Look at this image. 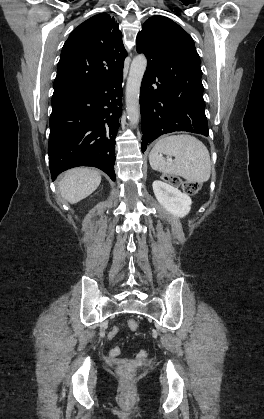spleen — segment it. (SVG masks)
I'll list each match as a JSON object with an SVG mask.
<instances>
[{
    "mask_svg": "<svg viewBox=\"0 0 264 419\" xmlns=\"http://www.w3.org/2000/svg\"><path fill=\"white\" fill-rule=\"evenodd\" d=\"M163 154L175 159L165 160ZM149 162L154 170L181 176L188 182L203 183L211 175L210 155L206 146L196 137L187 134L159 140L149 154Z\"/></svg>",
    "mask_w": 264,
    "mask_h": 419,
    "instance_id": "3e777b00",
    "label": "spleen"
}]
</instances>
